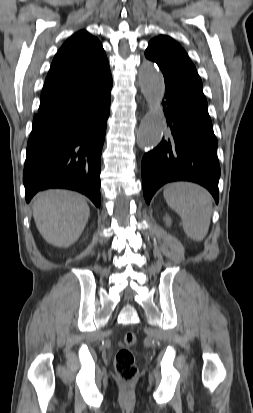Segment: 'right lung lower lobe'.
Returning a JSON list of instances; mask_svg holds the SVG:
<instances>
[{
  "mask_svg": "<svg viewBox=\"0 0 253 413\" xmlns=\"http://www.w3.org/2000/svg\"><path fill=\"white\" fill-rule=\"evenodd\" d=\"M111 74L93 95L33 122L23 171L26 201L47 188H66L100 207L101 152L110 114Z\"/></svg>",
  "mask_w": 253,
  "mask_h": 413,
  "instance_id": "right-lung-lower-lobe-1",
  "label": "right lung lower lobe"
}]
</instances>
